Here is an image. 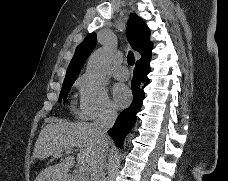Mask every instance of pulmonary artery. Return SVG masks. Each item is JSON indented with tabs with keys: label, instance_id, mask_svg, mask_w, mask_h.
Listing matches in <instances>:
<instances>
[{
	"label": "pulmonary artery",
	"instance_id": "pulmonary-artery-1",
	"mask_svg": "<svg viewBox=\"0 0 228 181\" xmlns=\"http://www.w3.org/2000/svg\"><path fill=\"white\" fill-rule=\"evenodd\" d=\"M126 68L122 67L120 69L116 70V74H117V79H129V74H125Z\"/></svg>",
	"mask_w": 228,
	"mask_h": 181
}]
</instances>
